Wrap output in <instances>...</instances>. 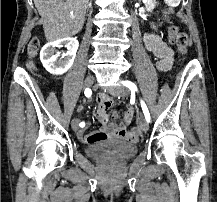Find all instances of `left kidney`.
I'll list each match as a JSON object with an SVG mask.
<instances>
[{"instance_id": "obj_1", "label": "left kidney", "mask_w": 217, "mask_h": 202, "mask_svg": "<svg viewBox=\"0 0 217 202\" xmlns=\"http://www.w3.org/2000/svg\"><path fill=\"white\" fill-rule=\"evenodd\" d=\"M153 28H154V30H155L156 26H153Z\"/></svg>"}]
</instances>
